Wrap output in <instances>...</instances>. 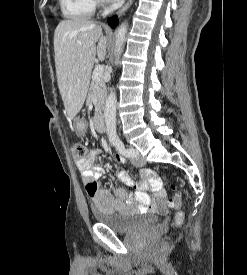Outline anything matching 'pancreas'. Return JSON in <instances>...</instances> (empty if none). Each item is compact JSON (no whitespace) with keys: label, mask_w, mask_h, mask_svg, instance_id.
Listing matches in <instances>:
<instances>
[{"label":"pancreas","mask_w":247,"mask_h":275,"mask_svg":"<svg viewBox=\"0 0 247 275\" xmlns=\"http://www.w3.org/2000/svg\"><path fill=\"white\" fill-rule=\"evenodd\" d=\"M106 99V86L103 79L98 81L92 79L87 96V104H96V114L99 115L104 108Z\"/></svg>","instance_id":"pancreas-1"}]
</instances>
